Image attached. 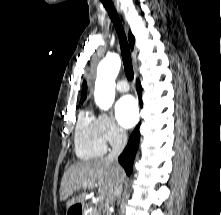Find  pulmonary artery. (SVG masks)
<instances>
[{
	"label": "pulmonary artery",
	"mask_w": 221,
	"mask_h": 215,
	"mask_svg": "<svg viewBox=\"0 0 221 215\" xmlns=\"http://www.w3.org/2000/svg\"><path fill=\"white\" fill-rule=\"evenodd\" d=\"M116 88L119 92H127L129 90V85L126 80H120L117 82Z\"/></svg>",
	"instance_id": "e3ab8cb5"
}]
</instances>
